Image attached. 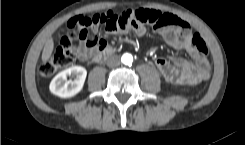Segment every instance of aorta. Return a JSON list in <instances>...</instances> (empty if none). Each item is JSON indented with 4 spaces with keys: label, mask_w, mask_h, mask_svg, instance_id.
<instances>
[{
    "label": "aorta",
    "mask_w": 245,
    "mask_h": 145,
    "mask_svg": "<svg viewBox=\"0 0 245 145\" xmlns=\"http://www.w3.org/2000/svg\"><path fill=\"white\" fill-rule=\"evenodd\" d=\"M121 62L125 65H132L133 56L129 53H125L121 57Z\"/></svg>",
    "instance_id": "1"
}]
</instances>
